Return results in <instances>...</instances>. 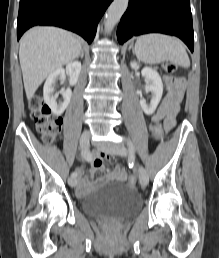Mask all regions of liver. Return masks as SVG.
<instances>
[{
    "instance_id": "obj_1",
    "label": "liver",
    "mask_w": 219,
    "mask_h": 258,
    "mask_svg": "<svg viewBox=\"0 0 219 258\" xmlns=\"http://www.w3.org/2000/svg\"><path fill=\"white\" fill-rule=\"evenodd\" d=\"M81 43L70 32L55 27H34L20 40L19 60L27 99L55 70L80 55Z\"/></svg>"
}]
</instances>
